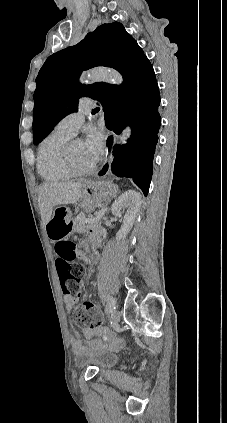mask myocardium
<instances>
[{"mask_svg": "<svg viewBox=\"0 0 227 423\" xmlns=\"http://www.w3.org/2000/svg\"><path fill=\"white\" fill-rule=\"evenodd\" d=\"M82 141L79 138H73L70 139L62 148L60 152V159L61 164L66 172V174L70 177H80L85 176L90 173H92L95 169V166H90L89 168L78 170L74 167L73 161H72V148L76 142Z\"/></svg>", "mask_w": 227, "mask_h": 423, "instance_id": "f54148a6", "label": "myocardium"}]
</instances>
